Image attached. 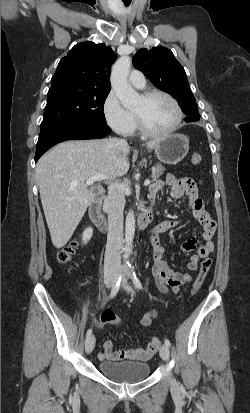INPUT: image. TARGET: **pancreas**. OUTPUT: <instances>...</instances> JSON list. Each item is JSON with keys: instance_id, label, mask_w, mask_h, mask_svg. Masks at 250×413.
Instances as JSON below:
<instances>
[{"instance_id": "1", "label": "pancreas", "mask_w": 250, "mask_h": 413, "mask_svg": "<svg viewBox=\"0 0 250 413\" xmlns=\"http://www.w3.org/2000/svg\"><path fill=\"white\" fill-rule=\"evenodd\" d=\"M164 170H165L164 166H162L161 164H156L152 168V171H153V174L151 176L152 180L156 181L163 174Z\"/></svg>"}]
</instances>
